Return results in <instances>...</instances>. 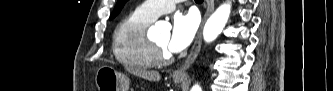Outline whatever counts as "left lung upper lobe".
Listing matches in <instances>:
<instances>
[{"mask_svg": "<svg viewBox=\"0 0 333 91\" xmlns=\"http://www.w3.org/2000/svg\"><path fill=\"white\" fill-rule=\"evenodd\" d=\"M126 1L127 0H118L116 6L110 16V19H113L120 12V10L122 9V7L124 6Z\"/></svg>", "mask_w": 333, "mask_h": 91, "instance_id": "5c2ea615", "label": "left lung upper lobe"}]
</instances>
